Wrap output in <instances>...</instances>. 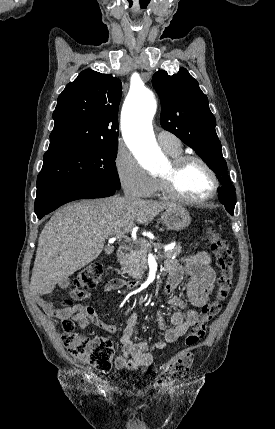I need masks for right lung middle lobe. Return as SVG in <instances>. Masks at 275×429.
I'll list each match as a JSON object with an SVG mask.
<instances>
[{"label": "right lung middle lobe", "instance_id": "obj_1", "mask_svg": "<svg viewBox=\"0 0 275 429\" xmlns=\"http://www.w3.org/2000/svg\"><path fill=\"white\" fill-rule=\"evenodd\" d=\"M118 143L70 145L44 154L37 196L66 185L91 183L120 189L115 159Z\"/></svg>", "mask_w": 275, "mask_h": 429}]
</instances>
